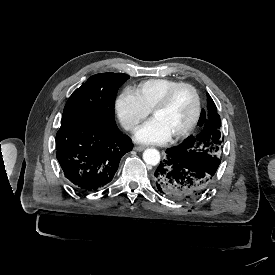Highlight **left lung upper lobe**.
<instances>
[{
    "label": "left lung upper lobe",
    "mask_w": 275,
    "mask_h": 275,
    "mask_svg": "<svg viewBox=\"0 0 275 275\" xmlns=\"http://www.w3.org/2000/svg\"><path fill=\"white\" fill-rule=\"evenodd\" d=\"M207 113L202 110L198 125L203 128L197 136H189L171 151L185 160L215 173L220 164L218 157L222 146L221 120L216 105L207 94Z\"/></svg>",
    "instance_id": "5c2ea615"
}]
</instances>
